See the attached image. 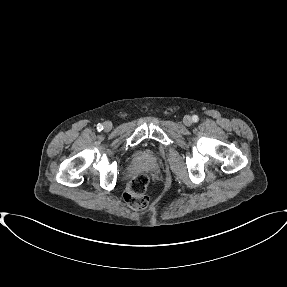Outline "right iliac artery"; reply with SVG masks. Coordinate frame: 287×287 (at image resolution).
<instances>
[{
  "label": "right iliac artery",
  "instance_id": "1",
  "mask_svg": "<svg viewBox=\"0 0 287 287\" xmlns=\"http://www.w3.org/2000/svg\"><path fill=\"white\" fill-rule=\"evenodd\" d=\"M97 130H98V131L103 130V125L99 123V124L97 125Z\"/></svg>",
  "mask_w": 287,
  "mask_h": 287
}]
</instances>
